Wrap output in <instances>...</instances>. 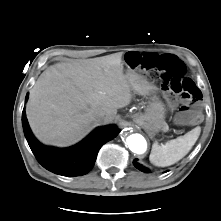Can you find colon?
Masks as SVG:
<instances>
[{"label":"colon","mask_w":221,"mask_h":221,"mask_svg":"<svg viewBox=\"0 0 221 221\" xmlns=\"http://www.w3.org/2000/svg\"><path fill=\"white\" fill-rule=\"evenodd\" d=\"M128 61L134 69L146 68L152 79L161 81L164 90L178 96L181 102L179 113L185 120L193 124L201 121V113L195 108L200 92L178 57L148 52L141 61L136 53H130Z\"/></svg>","instance_id":"5ec220e1"}]
</instances>
